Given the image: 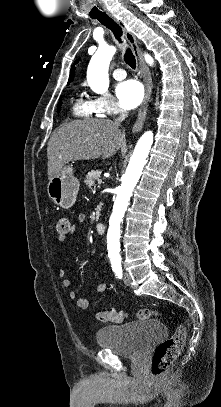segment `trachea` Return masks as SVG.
<instances>
[{
    "mask_svg": "<svg viewBox=\"0 0 221 407\" xmlns=\"http://www.w3.org/2000/svg\"><path fill=\"white\" fill-rule=\"evenodd\" d=\"M92 19H97L101 24L106 26L108 29H110L115 38L119 41V43H122V29L121 27L111 18L109 17L106 13H102L96 16H92ZM124 61L133 69L136 67V59L133 53L129 48H126L125 54H124Z\"/></svg>",
    "mask_w": 221,
    "mask_h": 407,
    "instance_id": "obj_1",
    "label": "trachea"
}]
</instances>
